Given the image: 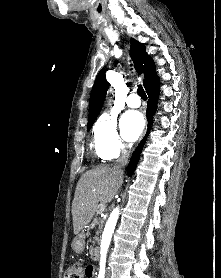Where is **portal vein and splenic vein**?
I'll use <instances>...</instances> for the list:
<instances>
[{"mask_svg": "<svg viewBox=\"0 0 221 278\" xmlns=\"http://www.w3.org/2000/svg\"><path fill=\"white\" fill-rule=\"evenodd\" d=\"M105 207H106L105 203H101V204L99 205L98 213H99V214H102V213L104 212V210H105Z\"/></svg>", "mask_w": 221, "mask_h": 278, "instance_id": "obj_1", "label": "portal vein and splenic vein"}]
</instances>
